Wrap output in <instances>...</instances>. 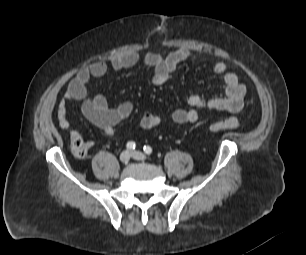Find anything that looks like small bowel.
<instances>
[{
    "label": "small bowel",
    "mask_w": 306,
    "mask_h": 255,
    "mask_svg": "<svg viewBox=\"0 0 306 255\" xmlns=\"http://www.w3.org/2000/svg\"><path fill=\"white\" fill-rule=\"evenodd\" d=\"M190 58L186 48H180L166 55L148 52L140 54L128 52L111 58L110 66L114 70H122L134 66H144L152 69V82L155 85L166 83L178 66ZM109 65L104 61H96L89 67L82 68L69 82L66 92L60 99L57 108V118L60 128L65 129L67 120V104L70 101L81 102V111L84 117L93 125L101 129L105 135L112 137L116 133V126L128 118L133 112V104L129 101L120 103L115 107L109 106L107 99L102 94L92 98L87 96V85L92 78H101L108 72ZM213 72L223 78L224 93L212 98H205L198 94L188 97V109H176L172 113V120L177 124L197 122L200 111L210 113H237L244 106L246 86L239 80L238 75L228 71L223 61L216 62L212 67ZM161 123L160 116L147 113L140 119V127L152 129ZM89 146L92 142H88Z\"/></svg>",
    "instance_id": "small-bowel-1"
}]
</instances>
